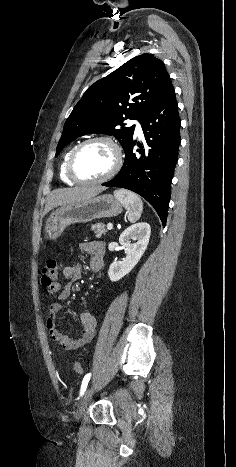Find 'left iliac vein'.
Here are the masks:
<instances>
[{
    "label": "left iliac vein",
    "instance_id": "4c4485c4",
    "mask_svg": "<svg viewBox=\"0 0 236 467\" xmlns=\"http://www.w3.org/2000/svg\"><path fill=\"white\" fill-rule=\"evenodd\" d=\"M94 392V386H90L87 388L85 393L83 394L82 398L80 399L78 405H77V411H76V419H80L85 412L87 405L92 399V395Z\"/></svg>",
    "mask_w": 236,
    "mask_h": 467
}]
</instances>
